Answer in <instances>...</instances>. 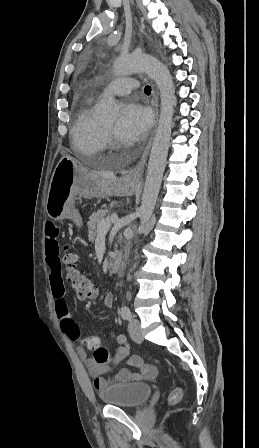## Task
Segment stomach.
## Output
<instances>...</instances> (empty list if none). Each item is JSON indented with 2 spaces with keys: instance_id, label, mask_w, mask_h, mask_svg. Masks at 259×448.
Masks as SVG:
<instances>
[{
  "instance_id": "stomach-1",
  "label": "stomach",
  "mask_w": 259,
  "mask_h": 448,
  "mask_svg": "<svg viewBox=\"0 0 259 448\" xmlns=\"http://www.w3.org/2000/svg\"><path fill=\"white\" fill-rule=\"evenodd\" d=\"M76 164V160L71 156H62L52 174L46 200V212L52 220L66 218L67 221H82L84 218L76 206H68L76 196L74 190Z\"/></svg>"
}]
</instances>
